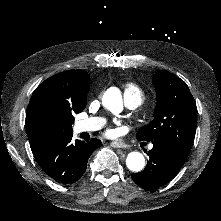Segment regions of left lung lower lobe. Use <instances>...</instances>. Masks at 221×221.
Here are the masks:
<instances>
[{"label":"left lung lower lobe","mask_w":221,"mask_h":221,"mask_svg":"<svg viewBox=\"0 0 221 221\" xmlns=\"http://www.w3.org/2000/svg\"><path fill=\"white\" fill-rule=\"evenodd\" d=\"M149 161L140 173L132 174L133 181L141 188L151 191L171 181L180 171L188 156L163 141H151Z\"/></svg>","instance_id":"0a47b994"}]
</instances>
